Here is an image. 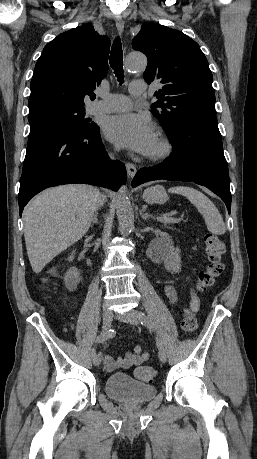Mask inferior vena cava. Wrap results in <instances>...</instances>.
Instances as JSON below:
<instances>
[{"label":"inferior vena cava","mask_w":257,"mask_h":459,"mask_svg":"<svg viewBox=\"0 0 257 459\" xmlns=\"http://www.w3.org/2000/svg\"><path fill=\"white\" fill-rule=\"evenodd\" d=\"M103 201H104V198H102V196H100L99 199H98V206L102 205Z\"/></svg>","instance_id":"obj_1"}]
</instances>
